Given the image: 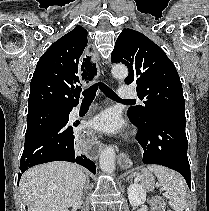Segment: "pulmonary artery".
<instances>
[{"label": "pulmonary artery", "instance_id": "e3ab8cb5", "mask_svg": "<svg viewBox=\"0 0 209 211\" xmlns=\"http://www.w3.org/2000/svg\"><path fill=\"white\" fill-rule=\"evenodd\" d=\"M118 96L121 99H133V98H136L137 94H136V91L132 87L123 85L118 90Z\"/></svg>", "mask_w": 209, "mask_h": 211}]
</instances>
